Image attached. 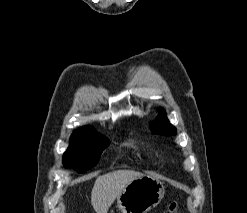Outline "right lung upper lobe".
I'll return each mask as SVG.
<instances>
[{"instance_id": "obj_1", "label": "right lung upper lobe", "mask_w": 247, "mask_h": 213, "mask_svg": "<svg viewBox=\"0 0 247 213\" xmlns=\"http://www.w3.org/2000/svg\"><path fill=\"white\" fill-rule=\"evenodd\" d=\"M94 134H97V133L91 126H85V127H82L74 131L71 137H83V136H90Z\"/></svg>"}]
</instances>
